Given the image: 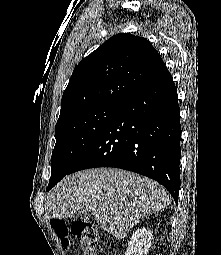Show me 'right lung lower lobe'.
<instances>
[{"instance_id":"obj_1","label":"right lung lower lobe","mask_w":221,"mask_h":255,"mask_svg":"<svg viewBox=\"0 0 221 255\" xmlns=\"http://www.w3.org/2000/svg\"><path fill=\"white\" fill-rule=\"evenodd\" d=\"M180 138L177 90L166 69L120 103L68 174L94 167L130 170L162 184L177 203Z\"/></svg>"}]
</instances>
